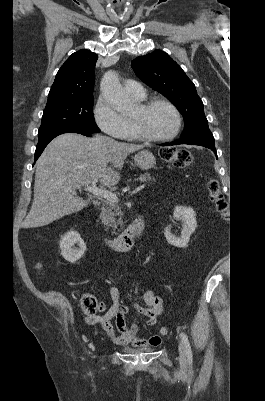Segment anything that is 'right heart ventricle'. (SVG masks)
<instances>
[{
  "label": "right heart ventricle",
  "instance_id": "e07e8e85",
  "mask_svg": "<svg viewBox=\"0 0 265 401\" xmlns=\"http://www.w3.org/2000/svg\"><path fill=\"white\" fill-rule=\"evenodd\" d=\"M133 97L139 101H144L146 98L145 95L142 97H138V96H133ZM133 121H134L133 118L126 120V122L129 124V129L125 135L119 137L120 140H132V139H136L139 137L138 134L136 133Z\"/></svg>",
  "mask_w": 265,
  "mask_h": 401
}]
</instances>
